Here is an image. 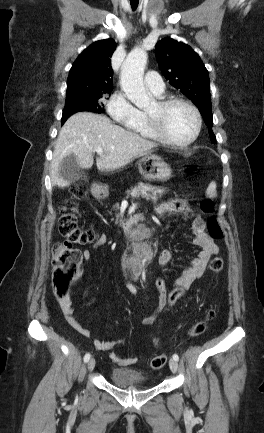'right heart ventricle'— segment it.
<instances>
[{"instance_id": "obj_1", "label": "right heart ventricle", "mask_w": 264, "mask_h": 433, "mask_svg": "<svg viewBox=\"0 0 264 433\" xmlns=\"http://www.w3.org/2000/svg\"><path fill=\"white\" fill-rule=\"evenodd\" d=\"M129 129L141 137L152 139V140H158V138L153 133L149 125L147 115L145 112L139 111V117L137 121L134 124L129 125Z\"/></svg>"}]
</instances>
